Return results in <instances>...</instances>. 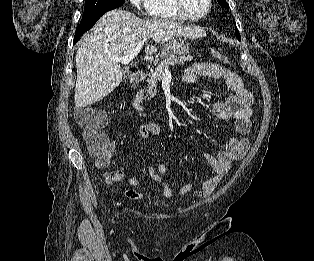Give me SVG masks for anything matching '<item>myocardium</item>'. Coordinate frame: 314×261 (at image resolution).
Returning <instances> with one entry per match:
<instances>
[{"label":"myocardium","mask_w":314,"mask_h":261,"mask_svg":"<svg viewBox=\"0 0 314 261\" xmlns=\"http://www.w3.org/2000/svg\"><path fill=\"white\" fill-rule=\"evenodd\" d=\"M175 4L177 5V7L189 18L191 19H202L204 17H206L212 10L213 7V0H208V8L207 10L202 13V14H195L192 11H190L184 0H174Z\"/></svg>","instance_id":"f54148a6"}]
</instances>
